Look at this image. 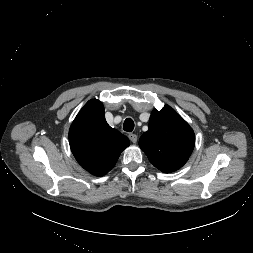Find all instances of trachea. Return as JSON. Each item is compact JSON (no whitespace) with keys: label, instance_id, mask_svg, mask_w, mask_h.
Wrapping results in <instances>:
<instances>
[{"label":"trachea","instance_id":"obj_1","mask_svg":"<svg viewBox=\"0 0 253 253\" xmlns=\"http://www.w3.org/2000/svg\"><path fill=\"white\" fill-rule=\"evenodd\" d=\"M123 129L126 132H132L134 129V121L131 118L125 119Z\"/></svg>","mask_w":253,"mask_h":253}]
</instances>
